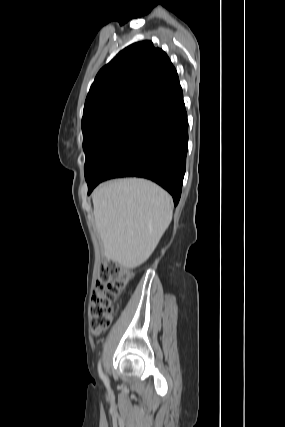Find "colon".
Returning a JSON list of instances; mask_svg holds the SVG:
<instances>
[{
	"label": "colon",
	"mask_w": 285,
	"mask_h": 427,
	"mask_svg": "<svg viewBox=\"0 0 285 427\" xmlns=\"http://www.w3.org/2000/svg\"><path fill=\"white\" fill-rule=\"evenodd\" d=\"M131 279L132 272L114 261L100 266L90 306V326L95 334H100L110 327L113 303Z\"/></svg>",
	"instance_id": "5ec220e1"
}]
</instances>
